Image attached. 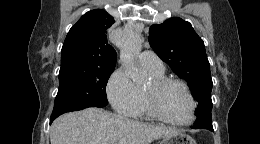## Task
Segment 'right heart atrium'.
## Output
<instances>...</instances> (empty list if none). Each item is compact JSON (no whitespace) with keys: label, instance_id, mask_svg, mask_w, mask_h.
Listing matches in <instances>:
<instances>
[{"label":"right heart atrium","instance_id":"d8ad5b80","mask_svg":"<svg viewBox=\"0 0 260 144\" xmlns=\"http://www.w3.org/2000/svg\"><path fill=\"white\" fill-rule=\"evenodd\" d=\"M106 95L113 109L124 115H129L137 102L135 86L122 68L116 69L110 75Z\"/></svg>","mask_w":260,"mask_h":144}]
</instances>
